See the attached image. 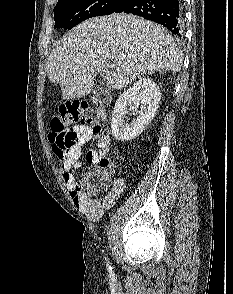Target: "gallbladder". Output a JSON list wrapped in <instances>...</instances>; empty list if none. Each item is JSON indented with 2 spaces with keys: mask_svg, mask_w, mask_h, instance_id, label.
Masks as SVG:
<instances>
[{
  "mask_svg": "<svg viewBox=\"0 0 233 294\" xmlns=\"http://www.w3.org/2000/svg\"><path fill=\"white\" fill-rule=\"evenodd\" d=\"M110 98V88L105 83L97 85L93 92L92 99L98 103H104Z\"/></svg>",
  "mask_w": 233,
  "mask_h": 294,
  "instance_id": "bac80fb5",
  "label": "gallbladder"
}]
</instances>
